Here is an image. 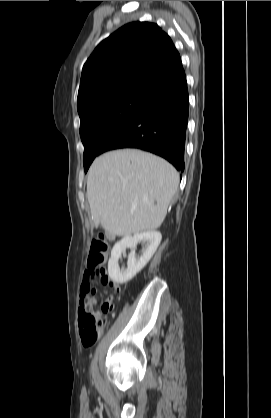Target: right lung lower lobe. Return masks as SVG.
Returning <instances> with one entry per match:
<instances>
[{
  "label": "right lung lower lobe",
  "mask_w": 271,
  "mask_h": 418,
  "mask_svg": "<svg viewBox=\"0 0 271 418\" xmlns=\"http://www.w3.org/2000/svg\"><path fill=\"white\" fill-rule=\"evenodd\" d=\"M185 73L119 127L103 144L100 154L118 148H138L157 154L183 171L188 123Z\"/></svg>",
  "instance_id": "98d812e1"
}]
</instances>
